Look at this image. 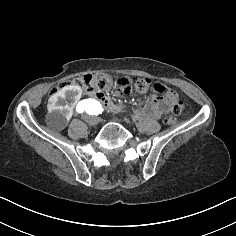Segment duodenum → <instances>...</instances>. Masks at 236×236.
<instances>
[{"label":"duodenum","mask_w":236,"mask_h":236,"mask_svg":"<svg viewBox=\"0 0 236 236\" xmlns=\"http://www.w3.org/2000/svg\"><path fill=\"white\" fill-rule=\"evenodd\" d=\"M89 96L94 101H96L106 112L118 114L124 111L123 105L114 102L104 92H101V91L90 92Z\"/></svg>","instance_id":"410a0bca"}]
</instances>
